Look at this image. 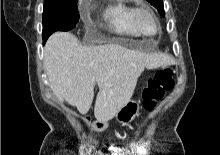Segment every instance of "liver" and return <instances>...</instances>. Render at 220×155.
Returning a JSON list of instances; mask_svg holds the SVG:
<instances>
[{
    "mask_svg": "<svg viewBox=\"0 0 220 155\" xmlns=\"http://www.w3.org/2000/svg\"><path fill=\"white\" fill-rule=\"evenodd\" d=\"M173 58L162 53L131 50L119 44L82 46L68 32H56L44 47V66L52 92L60 101L87 114L97 84L94 116L108 122L131 99L139 76L147 69L166 67Z\"/></svg>",
    "mask_w": 220,
    "mask_h": 155,
    "instance_id": "obj_1",
    "label": "liver"
}]
</instances>
